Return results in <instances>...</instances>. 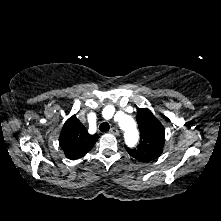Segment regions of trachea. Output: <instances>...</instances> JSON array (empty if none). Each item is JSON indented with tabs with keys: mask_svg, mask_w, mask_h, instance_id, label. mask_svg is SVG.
Returning <instances> with one entry per match:
<instances>
[{
	"mask_svg": "<svg viewBox=\"0 0 221 221\" xmlns=\"http://www.w3.org/2000/svg\"><path fill=\"white\" fill-rule=\"evenodd\" d=\"M109 129H110V126H109V124L107 122H103L99 126V130L101 132H107V131H109Z\"/></svg>",
	"mask_w": 221,
	"mask_h": 221,
	"instance_id": "obj_1",
	"label": "trachea"
}]
</instances>
